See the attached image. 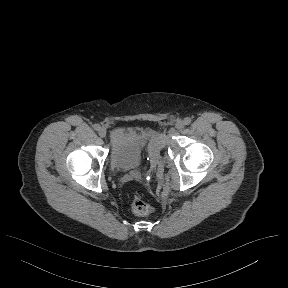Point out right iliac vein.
Listing matches in <instances>:
<instances>
[{"label":"right iliac vein","instance_id":"obj_1","mask_svg":"<svg viewBox=\"0 0 288 288\" xmlns=\"http://www.w3.org/2000/svg\"><path fill=\"white\" fill-rule=\"evenodd\" d=\"M106 134H107V131L104 127H102L100 130H99V136L104 138L106 137Z\"/></svg>","mask_w":288,"mask_h":288}]
</instances>
